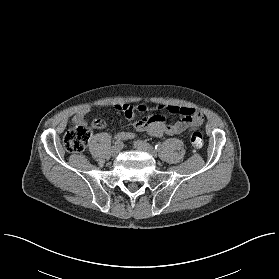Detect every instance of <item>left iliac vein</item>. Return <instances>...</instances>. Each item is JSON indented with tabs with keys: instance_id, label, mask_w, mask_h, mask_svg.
Segmentation results:
<instances>
[{
	"instance_id": "1",
	"label": "left iliac vein",
	"mask_w": 279,
	"mask_h": 279,
	"mask_svg": "<svg viewBox=\"0 0 279 279\" xmlns=\"http://www.w3.org/2000/svg\"><path fill=\"white\" fill-rule=\"evenodd\" d=\"M134 146L139 151L146 152L152 157H157L156 150L151 145H149L141 140L135 141Z\"/></svg>"
}]
</instances>
